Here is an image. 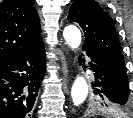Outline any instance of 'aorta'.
<instances>
[{
    "label": "aorta",
    "mask_w": 133,
    "mask_h": 118,
    "mask_svg": "<svg viewBox=\"0 0 133 118\" xmlns=\"http://www.w3.org/2000/svg\"><path fill=\"white\" fill-rule=\"evenodd\" d=\"M63 36L66 43L72 48L76 49L81 44V32L74 26L69 25L65 27L63 31ZM88 95V84L84 77L78 76L74 81V84L71 89V97L74 105L78 106L82 104Z\"/></svg>",
    "instance_id": "1"
}]
</instances>
